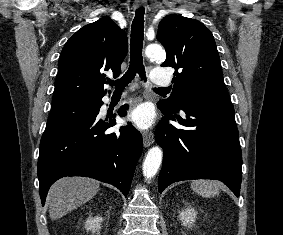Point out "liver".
I'll use <instances>...</instances> for the list:
<instances>
[{"instance_id":"1","label":"liver","mask_w":283,"mask_h":235,"mask_svg":"<svg viewBox=\"0 0 283 235\" xmlns=\"http://www.w3.org/2000/svg\"><path fill=\"white\" fill-rule=\"evenodd\" d=\"M99 182L85 177H65L49 189L47 202L51 220H56L92 199Z\"/></svg>"}]
</instances>
